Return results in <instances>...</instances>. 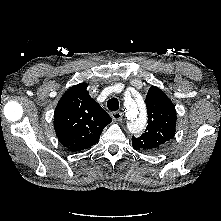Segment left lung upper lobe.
I'll return each instance as SVG.
<instances>
[{
  "label": "left lung upper lobe",
  "mask_w": 221,
  "mask_h": 221,
  "mask_svg": "<svg viewBox=\"0 0 221 221\" xmlns=\"http://www.w3.org/2000/svg\"><path fill=\"white\" fill-rule=\"evenodd\" d=\"M148 125L138 138L132 136L133 148L137 151L156 153L174 137L176 110L171 100L156 86L146 96Z\"/></svg>",
  "instance_id": "obj_1"
}]
</instances>
